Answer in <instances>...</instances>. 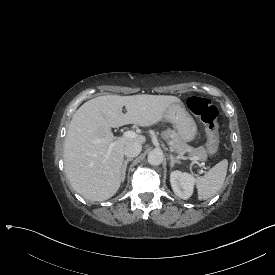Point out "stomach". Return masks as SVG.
Listing matches in <instances>:
<instances>
[{"instance_id":"0dacf381","label":"stomach","mask_w":275,"mask_h":275,"mask_svg":"<svg viewBox=\"0 0 275 275\" xmlns=\"http://www.w3.org/2000/svg\"><path fill=\"white\" fill-rule=\"evenodd\" d=\"M162 121L172 123L185 141L191 140L195 136L196 127L194 121L180 103L170 104L163 112Z\"/></svg>"}]
</instances>
